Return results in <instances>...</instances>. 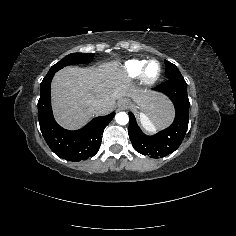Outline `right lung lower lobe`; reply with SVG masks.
Masks as SVG:
<instances>
[{"instance_id": "obj_1", "label": "right lung lower lobe", "mask_w": 236, "mask_h": 236, "mask_svg": "<svg viewBox=\"0 0 236 236\" xmlns=\"http://www.w3.org/2000/svg\"><path fill=\"white\" fill-rule=\"evenodd\" d=\"M56 72H48L41 82L38 101L39 124L43 137L50 149L60 158L81 161L93 157L99 150L105 127L115 113L94 118L84 128L68 131L54 120L51 108L50 85Z\"/></svg>"}]
</instances>
